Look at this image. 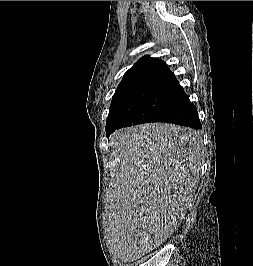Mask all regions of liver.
<instances>
[{"label": "liver", "instance_id": "liver-1", "mask_svg": "<svg viewBox=\"0 0 253 266\" xmlns=\"http://www.w3.org/2000/svg\"><path fill=\"white\" fill-rule=\"evenodd\" d=\"M110 144L120 158L109 199L111 243L123 260L135 261L179 227L199 182L203 139L152 123L120 129Z\"/></svg>", "mask_w": 253, "mask_h": 266}]
</instances>
